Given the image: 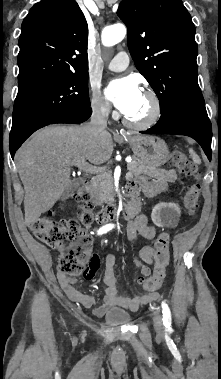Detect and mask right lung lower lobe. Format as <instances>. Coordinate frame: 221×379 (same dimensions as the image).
Instances as JSON below:
<instances>
[{"label":"right lung lower lobe","mask_w":221,"mask_h":379,"mask_svg":"<svg viewBox=\"0 0 221 379\" xmlns=\"http://www.w3.org/2000/svg\"><path fill=\"white\" fill-rule=\"evenodd\" d=\"M91 113H92V110L89 107V108L83 110L81 113H77L74 115L63 117V118L58 119L56 121H53L49 124H54V123H75V124H79V123L86 121L91 116ZM49 124H47V125H49ZM25 140L26 139H22L20 141L10 143V152H11L12 158H14V154H15L16 150L21 146V144Z\"/></svg>","instance_id":"right-lung-lower-lobe-1"}]
</instances>
